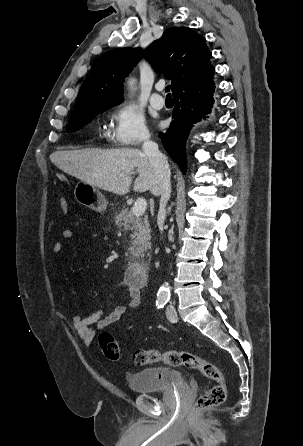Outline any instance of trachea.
I'll list each match as a JSON object with an SVG mask.
<instances>
[{"mask_svg":"<svg viewBox=\"0 0 303 446\" xmlns=\"http://www.w3.org/2000/svg\"><path fill=\"white\" fill-rule=\"evenodd\" d=\"M165 92H167V97H171V94L169 93L170 92V86L169 85L166 86Z\"/></svg>","mask_w":303,"mask_h":446,"instance_id":"obj_1","label":"trachea"}]
</instances>
